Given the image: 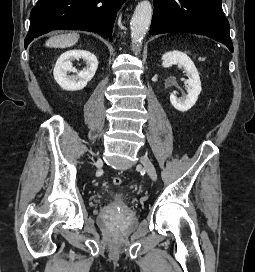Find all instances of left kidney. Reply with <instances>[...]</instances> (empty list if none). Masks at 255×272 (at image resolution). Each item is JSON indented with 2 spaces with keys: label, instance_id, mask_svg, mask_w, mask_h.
Segmentation results:
<instances>
[{
  "label": "left kidney",
  "instance_id": "left-kidney-1",
  "mask_svg": "<svg viewBox=\"0 0 255 272\" xmlns=\"http://www.w3.org/2000/svg\"><path fill=\"white\" fill-rule=\"evenodd\" d=\"M162 66L168 68L172 65H178L182 67L187 73L188 79L186 84L188 85V94L182 98H177L175 95H170V102L175 109L186 112L197 101L201 92V81L198 70L196 69L193 61L183 52L170 51L162 56Z\"/></svg>",
  "mask_w": 255,
  "mask_h": 272
}]
</instances>
